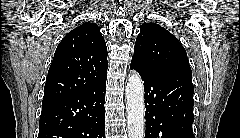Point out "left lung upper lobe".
Masks as SVG:
<instances>
[{"label": "left lung upper lobe", "mask_w": 240, "mask_h": 138, "mask_svg": "<svg viewBox=\"0 0 240 138\" xmlns=\"http://www.w3.org/2000/svg\"><path fill=\"white\" fill-rule=\"evenodd\" d=\"M132 63L151 72L191 73L187 53L178 39L156 23L140 26Z\"/></svg>", "instance_id": "1"}]
</instances>
